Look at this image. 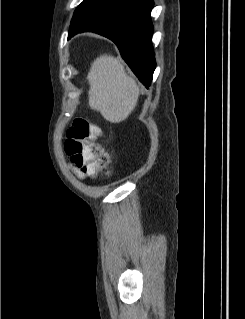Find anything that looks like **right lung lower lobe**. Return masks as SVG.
Returning <instances> with one entry per match:
<instances>
[{"mask_svg":"<svg viewBox=\"0 0 245 319\" xmlns=\"http://www.w3.org/2000/svg\"><path fill=\"white\" fill-rule=\"evenodd\" d=\"M152 0H130L113 13L69 34L91 31L111 39L139 80L148 88L155 70L152 47Z\"/></svg>","mask_w":245,"mask_h":319,"instance_id":"1","label":"right lung lower lobe"}]
</instances>
